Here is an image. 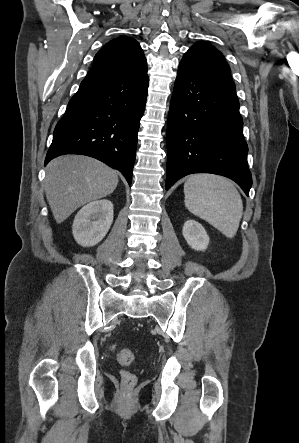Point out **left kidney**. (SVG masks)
I'll return each instance as SVG.
<instances>
[{
  "label": "left kidney",
  "instance_id": "5707ae66",
  "mask_svg": "<svg viewBox=\"0 0 299 443\" xmlns=\"http://www.w3.org/2000/svg\"><path fill=\"white\" fill-rule=\"evenodd\" d=\"M183 236L189 246L197 251L206 250L209 244V236L204 227L195 220H188L183 226Z\"/></svg>",
  "mask_w": 299,
  "mask_h": 443
}]
</instances>
